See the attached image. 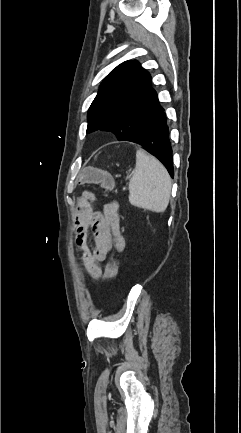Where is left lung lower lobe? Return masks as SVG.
I'll return each mask as SVG.
<instances>
[{
	"label": "left lung lower lobe",
	"instance_id": "obj_1",
	"mask_svg": "<svg viewBox=\"0 0 241 433\" xmlns=\"http://www.w3.org/2000/svg\"><path fill=\"white\" fill-rule=\"evenodd\" d=\"M126 141L141 145L150 154L159 159L167 168L169 174L172 177L174 176L169 127L163 108L145 129L132 135Z\"/></svg>",
	"mask_w": 241,
	"mask_h": 433
}]
</instances>
